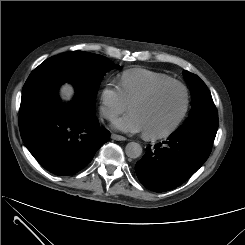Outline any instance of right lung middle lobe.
<instances>
[{
	"mask_svg": "<svg viewBox=\"0 0 245 245\" xmlns=\"http://www.w3.org/2000/svg\"><path fill=\"white\" fill-rule=\"evenodd\" d=\"M48 60L53 67L65 73L64 81H71L76 85L73 104L80 113L94 111L96 95L103 76L119 66L102 55L82 51L62 53ZM60 83L55 84L53 88L49 85L37 86L28 78L22 90L19 117L31 116L58 100L56 90Z\"/></svg>",
	"mask_w": 245,
	"mask_h": 245,
	"instance_id": "dd1d6c3e",
	"label": "right lung middle lobe"
}]
</instances>
